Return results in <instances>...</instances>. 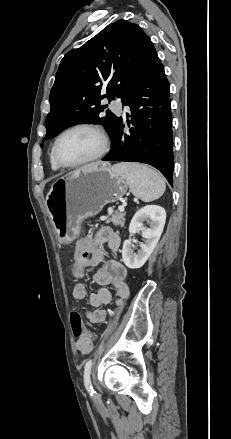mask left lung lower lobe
Segmentation results:
<instances>
[{
	"label": "left lung lower lobe",
	"instance_id": "0a47b994",
	"mask_svg": "<svg viewBox=\"0 0 231 439\" xmlns=\"http://www.w3.org/2000/svg\"><path fill=\"white\" fill-rule=\"evenodd\" d=\"M123 104L128 105L129 133L118 118L111 137L112 148L105 161L141 162L157 168L173 185V136L169 82L153 47Z\"/></svg>",
	"mask_w": 231,
	"mask_h": 439
}]
</instances>
